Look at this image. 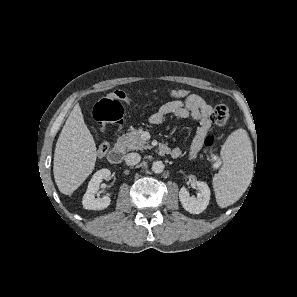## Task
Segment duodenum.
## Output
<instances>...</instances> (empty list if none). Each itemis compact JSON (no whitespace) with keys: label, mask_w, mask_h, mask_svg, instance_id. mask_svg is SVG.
I'll return each instance as SVG.
<instances>
[{"label":"duodenum","mask_w":297,"mask_h":297,"mask_svg":"<svg viewBox=\"0 0 297 297\" xmlns=\"http://www.w3.org/2000/svg\"><path fill=\"white\" fill-rule=\"evenodd\" d=\"M159 154L168 155L171 154V150L169 147L163 145L158 149ZM125 156V148L122 144H118L114 146L108 154V159L111 163H120Z\"/></svg>","instance_id":"duodenum-1"}]
</instances>
